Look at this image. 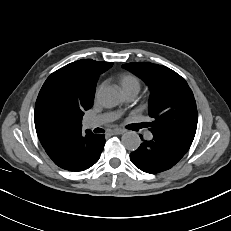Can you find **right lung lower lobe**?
Here are the masks:
<instances>
[{
	"label": "right lung lower lobe",
	"instance_id": "obj_1",
	"mask_svg": "<svg viewBox=\"0 0 231 231\" xmlns=\"http://www.w3.org/2000/svg\"><path fill=\"white\" fill-rule=\"evenodd\" d=\"M104 135H95L86 130L63 136L45 147L53 162L68 171H83L94 165L104 148Z\"/></svg>",
	"mask_w": 231,
	"mask_h": 231
}]
</instances>
